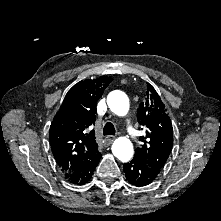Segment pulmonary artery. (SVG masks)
Masks as SVG:
<instances>
[{
    "mask_svg": "<svg viewBox=\"0 0 221 221\" xmlns=\"http://www.w3.org/2000/svg\"><path fill=\"white\" fill-rule=\"evenodd\" d=\"M123 124H124V127H125L127 133L129 134V136L135 137L136 133H135V129H134V124H133V120L131 119L130 116L127 115L124 118Z\"/></svg>",
    "mask_w": 221,
    "mask_h": 221,
    "instance_id": "obj_1",
    "label": "pulmonary artery"
}]
</instances>
